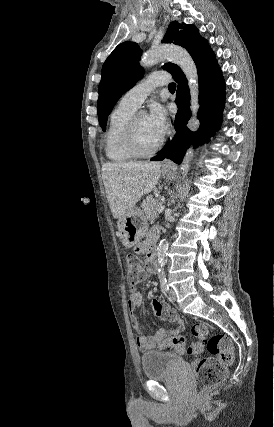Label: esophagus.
I'll return each instance as SVG.
<instances>
[{"label": "esophagus", "mask_w": 274, "mask_h": 427, "mask_svg": "<svg viewBox=\"0 0 274 427\" xmlns=\"http://www.w3.org/2000/svg\"><path fill=\"white\" fill-rule=\"evenodd\" d=\"M169 165H172V162L170 160H163L162 167H168Z\"/></svg>", "instance_id": "1"}]
</instances>
